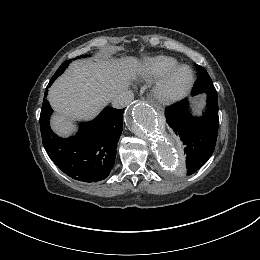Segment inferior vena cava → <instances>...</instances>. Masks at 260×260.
Segmentation results:
<instances>
[{"instance_id":"obj_1","label":"inferior vena cava","mask_w":260,"mask_h":260,"mask_svg":"<svg viewBox=\"0 0 260 260\" xmlns=\"http://www.w3.org/2000/svg\"><path fill=\"white\" fill-rule=\"evenodd\" d=\"M134 99V94L131 90H122L111 100L112 106L117 109H121L129 105Z\"/></svg>"}]
</instances>
